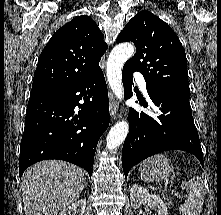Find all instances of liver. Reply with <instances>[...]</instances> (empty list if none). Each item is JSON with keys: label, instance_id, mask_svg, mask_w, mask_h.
Segmentation results:
<instances>
[{"label": "liver", "instance_id": "1", "mask_svg": "<svg viewBox=\"0 0 221 215\" xmlns=\"http://www.w3.org/2000/svg\"><path fill=\"white\" fill-rule=\"evenodd\" d=\"M86 184L85 171L61 160H45L22 176L25 215H57L76 201Z\"/></svg>", "mask_w": 221, "mask_h": 215}]
</instances>
